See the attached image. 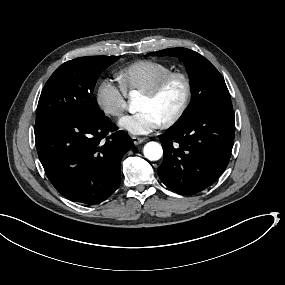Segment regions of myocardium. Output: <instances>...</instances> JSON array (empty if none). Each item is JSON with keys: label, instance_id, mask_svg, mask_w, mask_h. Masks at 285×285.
<instances>
[{"label": "myocardium", "instance_id": "obj_1", "mask_svg": "<svg viewBox=\"0 0 285 285\" xmlns=\"http://www.w3.org/2000/svg\"><path fill=\"white\" fill-rule=\"evenodd\" d=\"M177 84L179 86V99L178 103L175 106L174 110L163 120L160 122L161 128H167L176 123L185 113L188 102H189V94H190V85L187 76L181 72H172L163 78H161L156 84H154L151 88L145 91L142 95L138 97V101H143L152 96H155L172 85Z\"/></svg>", "mask_w": 285, "mask_h": 285}]
</instances>
